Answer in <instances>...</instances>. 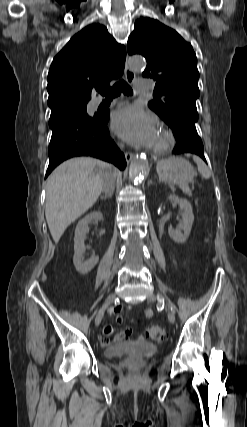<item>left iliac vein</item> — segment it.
I'll list each match as a JSON object with an SVG mask.
<instances>
[{
  "mask_svg": "<svg viewBox=\"0 0 247 427\" xmlns=\"http://www.w3.org/2000/svg\"><path fill=\"white\" fill-rule=\"evenodd\" d=\"M157 300V296L154 293H150L149 296L147 297V301L148 302H154ZM168 319L171 323L175 322V314L172 310H168Z\"/></svg>",
  "mask_w": 247,
  "mask_h": 427,
  "instance_id": "4c4485c4",
  "label": "left iliac vein"
}]
</instances>
